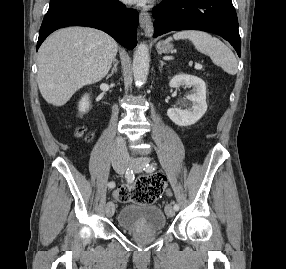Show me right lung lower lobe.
Here are the masks:
<instances>
[{
	"mask_svg": "<svg viewBox=\"0 0 286 269\" xmlns=\"http://www.w3.org/2000/svg\"><path fill=\"white\" fill-rule=\"evenodd\" d=\"M76 25L103 30L128 49L137 44V11L126 8L118 0L110 5L98 0H67L49 6L40 28L37 50L53 31Z\"/></svg>",
	"mask_w": 286,
	"mask_h": 269,
	"instance_id": "obj_1",
	"label": "right lung lower lobe"
}]
</instances>
